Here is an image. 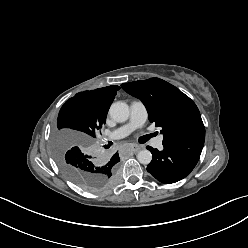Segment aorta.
<instances>
[{"label": "aorta", "instance_id": "1", "mask_svg": "<svg viewBox=\"0 0 248 248\" xmlns=\"http://www.w3.org/2000/svg\"><path fill=\"white\" fill-rule=\"evenodd\" d=\"M111 118L116 122H125L130 114L129 106L122 101L115 102L109 109ZM137 159L141 164L147 165L152 160V154L149 150H141L137 154Z\"/></svg>", "mask_w": 248, "mask_h": 248}]
</instances>
